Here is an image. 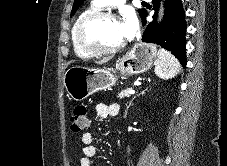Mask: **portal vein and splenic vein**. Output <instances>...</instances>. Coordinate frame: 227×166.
Here are the masks:
<instances>
[{
  "label": "portal vein and splenic vein",
  "instance_id": "obj_1",
  "mask_svg": "<svg viewBox=\"0 0 227 166\" xmlns=\"http://www.w3.org/2000/svg\"><path fill=\"white\" fill-rule=\"evenodd\" d=\"M134 93H135V90L134 89H130L129 94L133 95Z\"/></svg>",
  "mask_w": 227,
  "mask_h": 166
}]
</instances>
